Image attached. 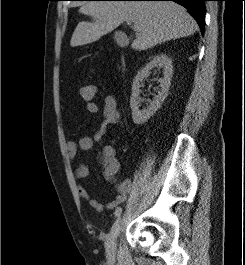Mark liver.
Instances as JSON below:
<instances>
[{
	"label": "liver",
	"instance_id": "liver-1",
	"mask_svg": "<svg viewBox=\"0 0 245 265\" xmlns=\"http://www.w3.org/2000/svg\"><path fill=\"white\" fill-rule=\"evenodd\" d=\"M80 13L93 22H80L72 35V47L99 40L124 21L133 22L135 50L144 51L157 44L194 34L198 25L184 7L171 1H90Z\"/></svg>",
	"mask_w": 245,
	"mask_h": 265
}]
</instances>
